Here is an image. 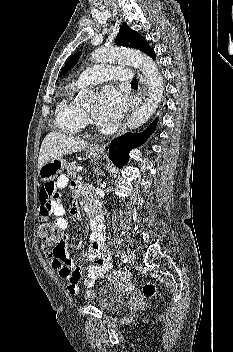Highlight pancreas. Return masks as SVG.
Instances as JSON below:
<instances>
[{
  "instance_id": "1",
  "label": "pancreas",
  "mask_w": 233,
  "mask_h": 352,
  "mask_svg": "<svg viewBox=\"0 0 233 352\" xmlns=\"http://www.w3.org/2000/svg\"><path fill=\"white\" fill-rule=\"evenodd\" d=\"M76 169H77L76 162L69 163L67 166L68 177H70L71 179H74V178L79 179L80 175H77Z\"/></svg>"
}]
</instances>
